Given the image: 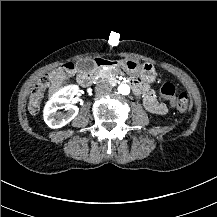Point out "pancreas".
I'll use <instances>...</instances> for the list:
<instances>
[{
  "label": "pancreas",
  "mask_w": 217,
  "mask_h": 217,
  "mask_svg": "<svg viewBox=\"0 0 217 217\" xmlns=\"http://www.w3.org/2000/svg\"><path fill=\"white\" fill-rule=\"evenodd\" d=\"M120 70L118 68L109 69L108 71H103L104 77L107 80H112L116 75L120 74Z\"/></svg>",
  "instance_id": "cf45deb5"
}]
</instances>
